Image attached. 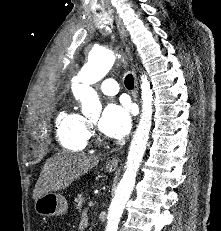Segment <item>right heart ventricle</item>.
Masks as SVG:
<instances>
[{
    "label": "right heart ventricle",
    "instance_id": "obj_1",
    "mask_svg": "<svg viewBox=\"0 0 221 231\" xmlns=\"http://www.w3.org/2000/svg\"><path fill=\"white\" fill-rule=\"evenodd\" d=\"M56 129L61 147L76 152L84 150L88 142V124L84 116L65 109L57 117Z\"/></svg>",
    "mask_w": 221,
    "mask_h": 231
}]
</instances>
